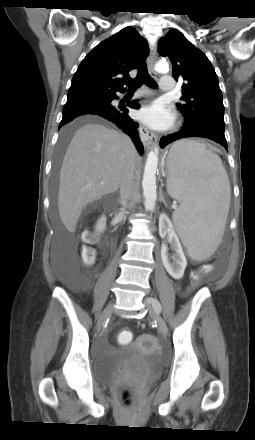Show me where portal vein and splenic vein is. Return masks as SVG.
<instances>
[{"mask_svg": "<svg viewBox=\"0 0 255 440\" xmlns=\"http://www.w3.org/2000/svg\"><path fill=\"white\" fill-rule=\"evenodd\" d=\"M173 207H174V208H176V207H177V205L175 204V205H173Z\"/></svg>", "mask_w": 255, "mask_h": 440, "instance_id": "1", "label": "portal vein and splenic vein"}]
</instances>
